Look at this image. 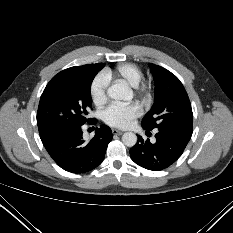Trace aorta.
Returning <instances> with one entry per match:
<instances>
[{
  "mask_svg": "<svg viewBox=\"0 0 233 233\" xmlns=\"http://www.w3.org/2000/svg\"><path fill=\"white\" fill-rule=\"evenodd\" d=\"M107 94L114 100L130 101L133 98L132 90L124 82H116L110 86ZM122 142L128 147H132L137 142V136L133 132H126L122 136Z\"/></svg>",
  "mask_w": 233,
  "mask_h": 233,
  "instance_id": "762f6f07",
  "label": "aorta"
}]
</instances>
